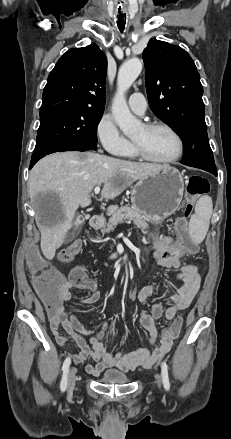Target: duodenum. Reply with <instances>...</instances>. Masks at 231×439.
I'll return each mask as SVG.
<instances>
[{
	"label": "duodenum",
	"mask_w": 231,
	"mask_h": 439,
	"mask_svg": "<svg viewBox=\"0 0 231 439\" xmlns=\"http://www.w3.org/2000/svg\"><path fill=\"white\" fill-rule=\"evenodd\" d=\"M90 226L92 228H100L104 223V218L101 215H93L90 219ZM118 257L117 253H112L110 255L111 259H115Z\"/></svg>",
	"instance_id": "obj_1"
}]
</instances>
